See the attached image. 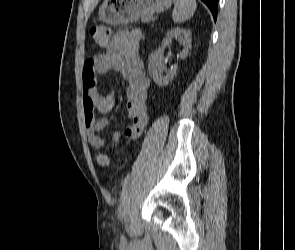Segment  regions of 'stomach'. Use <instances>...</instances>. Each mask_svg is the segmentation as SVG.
I'll list each match as a JSON object with an SVG mask.
<instances>
[{
	"label": "stomach",
	"instance_id": "1",
	"mask_svg": "<svg viewBox=\"0 0 295 250\" xmlns=\"http://www.w3.org/2000/svg\"><path fill=\"white\" fill-rule=\"evenodd\" d=\"M172 0H104L99 20L110 25L128 24L170 8Z\"/></svg>",
	"mask_w": 295,
	"mask_h": 250
}]
</instances>
